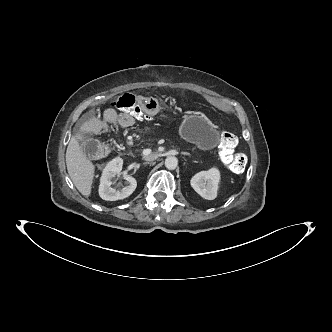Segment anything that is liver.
<instances>
[{
	"label": "liver",
	"instance_id": "obj_1",
	"mask_svg": "<svg viewBox=\"0 0 332 332\" xmlns=\"http://www.w3.org/2000/svg\"><path fill=\"white\" fill-rule=\"evenodd\" d=\"M68 174L75 187L84 196L91 194L95 166L86 157L75 136H72L66 150Z\"/></svg>",
	"mask_w": 332,
	"mask_h": 332
}]
</instances>
